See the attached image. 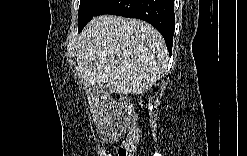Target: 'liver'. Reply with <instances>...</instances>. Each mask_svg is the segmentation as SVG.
I'll return each mask as SVG.
<instances>
[{
  "mask_svg": "<svg viewBox=\"0 0 247 156\" xmlns=\"http://www.w3.org/2000/svg\"><path fill=\"white\" fill-rule=\"evenodd\" d=\"M167 63L162 35L137 19L95 17L78 39L77 64L85 86L98 83L113 93L142 94L160 79Z\"/></svg>",
  "mask_w": 247,
  "mask_h": 156,
  "instance_id": "1",
  "label": "liver"
}]
</instances>
